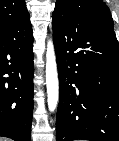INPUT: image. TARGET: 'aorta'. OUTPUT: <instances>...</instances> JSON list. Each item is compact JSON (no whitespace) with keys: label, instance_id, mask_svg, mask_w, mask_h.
Masks as SVG:
<instances>
[{"label":"aorta","instance_id":"1","mask_svg":"<svg viewBox=\"0 0 119 141\" xmlns=\"http://www.w3.org/2000/svg\"><path fill=\"white\" fill-rule=\"evenodd\" d=\"M46 88L49 111L53 112L59 100V82L56 56L52 40L47 43L46 52Z\"/></svg>","mask_w":119,"mask_h":141}]
</instances>
